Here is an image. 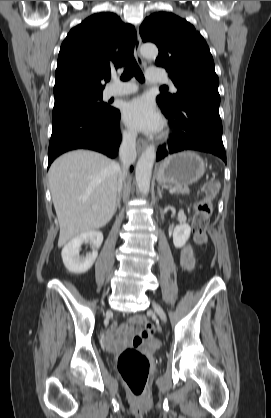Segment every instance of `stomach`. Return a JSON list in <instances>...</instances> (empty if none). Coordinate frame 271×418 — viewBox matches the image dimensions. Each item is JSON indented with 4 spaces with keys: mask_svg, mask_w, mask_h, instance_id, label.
<instances>
[{
    "mask_svg": "<svg viewBox=\"0 0 271 418\" xmlns=\"http://www.w3.org/2000/svg\"><path fill=\"white\" fill-rule=\"evenodd\" d=\"M205 173V162L195 152L184 151L167 157L158 167L161 184L190 185Z\"/></svg>",
    "mask_w": 271,
    "mask_h": 418,
    "instance_id": "stomach-1",
    "label": "stomach"
}]
</instances>
